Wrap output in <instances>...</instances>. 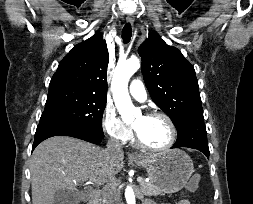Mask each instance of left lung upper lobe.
Returning a JSON list of instances; mask_svg holds the SVG:
<instances>
[{
    "label": "left lung upper lobe",
    "instance_id": "obj_1",
    "mask_svg": "<svg viewBox=\"0 0 253 204\" xmlns=\"http://www.w3.org/2000/svg\"><path fill=\"white\" fill-rule=\"evenodd\" d=\"M138 53L150 96L177 130L192 115L203 113L194 67L177 48L167 45L158 34H151Z\"/></svg>",
    "mask_w": 253,
    "mask_h": 204
}]
</instances>
